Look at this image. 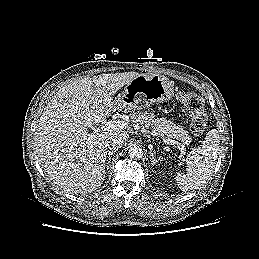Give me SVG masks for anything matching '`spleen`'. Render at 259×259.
<instances>
[{
  "mask_svg": "<svg viewBox=\"0 0 259 259\" xmlns=\"http://www.w3.org/2000/svg\"><path fill=\"white\" fill-rule=\"evenodd\" d=\"M220 136L210 130L201 147L193 149L187 157L186 174L176 173L175 180L182 191L196 190L210 180L219 155Z\"/></svg>",
  "mask_w": 259,
  "mask_h": 259,
  "instance_id": "spleen-1",
  "label": "spleen"
}]
</instances>
